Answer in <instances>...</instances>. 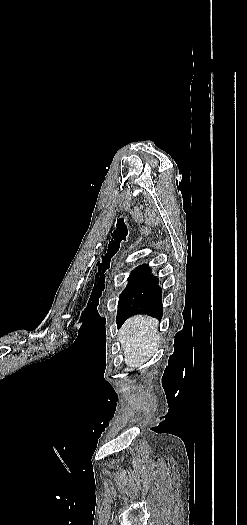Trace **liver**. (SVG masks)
<instances>
[{
	"mask_svg": "<svg viewBox=\"0 0 247 525\" xmlns=\"http://www.w3.org/2000/svg\"><path fill=\"white\" fill-rule=\"evenodd\" d=\"M159 321L147 315H134L119 329V343L130 369H141L152 353H157L162 341L157 327Z\"/></svg>",
	"mask_w": 247,
	"mask_h": 525,
	"instance_id": "6515ba94",
	"label": "liver"
}]
</instances>
